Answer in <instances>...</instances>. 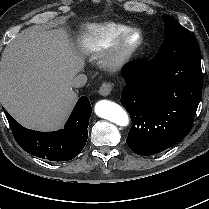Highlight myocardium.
<instances>
[{"instance_id": "myocardium-1", "label": "myocardium", "mask_w": 209, "mask_h": 209, "mask_svg": "<svg viewBox=\"0 0 209 209\" xmlns=\"http://www.w3.org/2000/svg\"><path fill=\"white\" fill-rule=\"evenodd\" d=\"M137 35L138 40L132 45L127 41ZM144 42L142 32L137 28H129L116 34L106 45L101 56V64L109 70L123 67L141 48Z\"/></svg>"}]
</instances>
